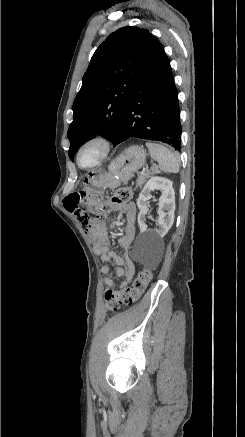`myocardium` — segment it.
Masks as SVG:
<instances>
[{"label": "myocardium", "mask_w": 245, "mask_h": 437, "mask_svg": "<svg viewBox=\"0 0 245 437\" xmlns=\"http://www.w3.org/2000/svg\"><path fill=\"white\" fill-rule=\"evenodd\" d=\"M95 145L99 148L100 154L98 158L89 165H82L80 161L82 151L89 147ZM112 150V142L111 140L104 135H95L88 139H86L77 149L76 151V162L78 166L82 169H92L100 166L110 155Z\"/></svg>", "instance_id": "1"}]
</instances>
